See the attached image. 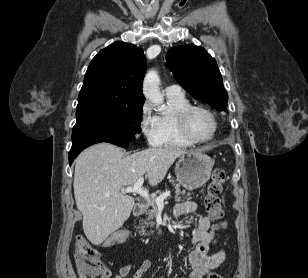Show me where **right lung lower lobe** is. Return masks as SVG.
<instances>
[{
  "instance_id": "98d812e1",
  "label": "right lung lower lobe",
  "mask_w": 308,
  "mask_h": 278,
  "mask_svg": "<svg viewBox=\"0 0 308 278\" xmlns=\"http://www.w3.org/2000/svg\"><path fill=\"white\" fill-rule=\"evenodd\" d=\"M99 143L97 141H93V142H81V143H76V144H72L71 150L69 152V164L71 165L72 162L74 161V159L78 156V154L84 150L85 148H87L90 145ZM112 144H115L117 146L120 147H127L128 143H117V142H109Z\"/></svg>"
}]
</instances>
